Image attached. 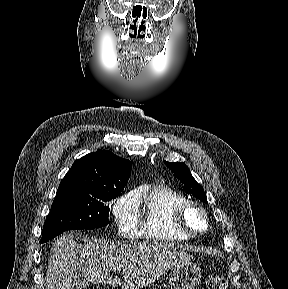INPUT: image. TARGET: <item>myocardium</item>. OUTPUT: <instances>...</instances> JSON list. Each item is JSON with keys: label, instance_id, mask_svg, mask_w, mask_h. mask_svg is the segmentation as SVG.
I'll list each match as a JSON object with an SVG mask.
<instances>
[{"label": "myocardium", "instance_id": "myocardium-1", "mask_svg": "<svg viewBox=\"0 0 288 289\" xmlns=\"http://www.w3.org/2000/svg\"><path fill=\"white\" fill-rule=\"evenodd\" d=\"M191 208L197 210L202 215L204 223H205L204 228L200 230H194L188 225L186 221V213ZM174 218L178 227L181 228L184 232H186L190 236L201 235L207 232L210 228L209 217H208L207 211L200 203L193 201V200H186L182 202L181 204H179L178 206H176L174 210Z\"/></svg>", "mask_w": 288, "mask_h": 289}]
</instances>
